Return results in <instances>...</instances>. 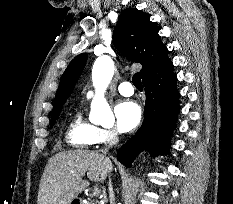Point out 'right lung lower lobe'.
<instances>
[{
    "instance_id": "obj_1",
    "label": "right lung lower lobe",
    "mask_w": 233,
    "mask_h": 204,
    "mask_svg": "<svg viewBox=\"0 0 233 204\" xmlns=\"http://www.w3.org/2000/svg\"><path fill=\"white\" fill-rule=\"evenodd\" d=\"M142 81L146 93L144 121L117 154L118 160L127 167H131L135 157L143 150L149 151L152 156L168 153L179 113L177 78L173 73L172 62L145 76Z\"/></svg>"
}]
</instances>
